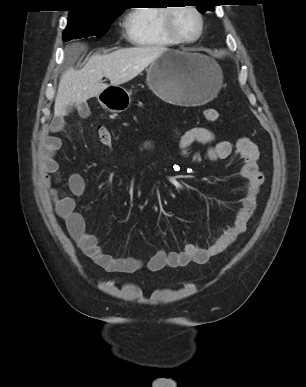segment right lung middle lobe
<instances>
[{"instance_id":"1","label":"right lung middle lobe","mask_w":306,"mask_h":387,"mask_svg":"<svg viewBox=\"0 0 306 387\" xmlns=\"http://www.w3.org/2000/svg\"><path fill=\"white\" fill-rule=\"evenodd\" d=\"M122 13L112 12L99 16H69L68 25L63 34L64 41L89 36L101 38L110 28V24Z\"/></svg>"}]
</instances>
